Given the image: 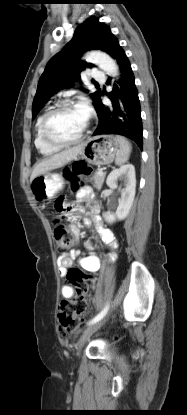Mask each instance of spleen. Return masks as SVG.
I'll list each match as a JSON object with an SVG mask.
<instances>
[{
	"mask_svg": "<svg viewBox=\"0 0 187 415\" xmlns=\"http://www.w3.org/2000/svg\"><path fill=\"white\" fill-rule=\"evenodd\" d=\"M116 139L119 143V150L116 154L115 164L122 165L128 161L132 146L131 143L122 136H116Z\"/></svg>",
	"mask_w": 187,
	"mask_h": 415,
	"instance_id": "obj_1",
	"label": "spleen"
}]
</instances>
